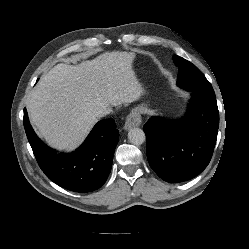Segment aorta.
I'll return each mask as SVG.
<instances>
[{"instance_id": "aorta-1", "label": "aorta", "mask_w": 249, "mask_h": 249, "mask_svg": "<svg viewBox=\"0 0 249 249\" xmlns=\"http://www.w3.org/2000/svg\"><path fill=\"white\" fill-rule=\"evenodd\" d=\"M128 139L134 145H141L145 142V133L140 128H132L128 132Z\"/></svg>"}]
</instances>
